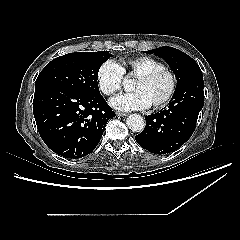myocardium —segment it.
I'll return each mask as SVG.
<instances>
[{
    "instance_id": "1",
    "label": "myocardium",
    "mask_w": 240,
    "mask_h": 240,
    "mask_svg": "<svg viewBox=\"0 0 240 240\" xmlns=\"http://www.w3.org/2000/svg\"><path fill=\"white\" fill-rule=\"evenodd\" d=\"M156 77H163L167 80V88L165 93L163 94V96L161 98H159L157 101L154 102L155 105H160L164 102H166L172 95L173 92V82L171 80V78L168 76V74H166V72L164 70H162L159 67H154L151 69H148L142 73H139L137 75V78L142 79L144 81H150L153 80Z\"/></svg>"
}]
</instances>
